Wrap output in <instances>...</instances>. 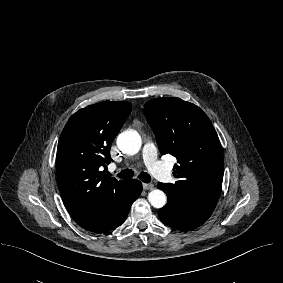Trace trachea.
Masks as SVG:
<instances>
[{"label":"trachea","instance_id":"3493384b","mask_svg":"<svg viewBox=\"0 0 283 283\" xmlns=\"http://www.w3.org/2000/svg\"><path fill=\"white\" fill-rule=\"evenodd\" d=\"M133 175H134V172L130 169L123 170L118 174V176L122 179H131L133 177ZM138 178L142 182H145V183H149L151 181V176L146 172H141L138 175Z\"/></svg>","mask_w":283,"mask_h":283}]
</instances>
